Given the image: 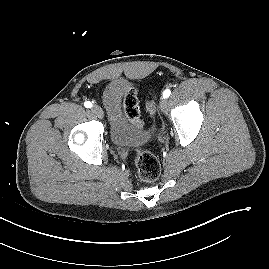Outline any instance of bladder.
Instances as JSON below:
<instances>
[{"mask_svg":"<svg viewBox=\"0 0 269 269\" xmlns=\"http://www.w3.org/2000/svg\"><path fill=\"white\" fill-rule=\"evenodd\" d=\"M127 83L112 80L102 90V102L110 119V138L119 147H136L143 145L151 136L130 125L122 114L121 101Z\"/></svg>","mask_w":269,"mask_h":269,"instance_id":"31cf9c89","label":"bladder"}]
</instances>
